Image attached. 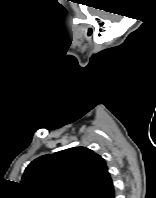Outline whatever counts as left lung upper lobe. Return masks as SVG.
Segmentation results:
<instances>
[{
  "instance_id": "left-lung-upper-lobe-1",
  "label": "left lung upper lobe",
  "mask_w": 156,
  "mask_h": 198,
  "mask_svg": "<svg viewBox=\"0 0 156 198\" xmlns=\"http://www.w3.org/2000/svg\"><path fill=\"white\" fill-rule=\"evenodd\" d=\"M110 181L101 156L75 147L32 161L21 184L28 198H91Z\"/></svg>"
}]
</instances>
